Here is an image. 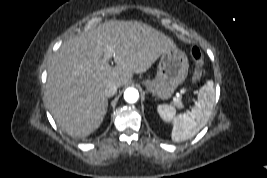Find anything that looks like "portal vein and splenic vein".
I'll return each mask as SVG.
<instances>
[{"mask_svg":"<svg viewBox=\"0 0 267 178\" xmlns=\"http://www.w3.org/2000/svg\"><path fill=\"white\" fill-rule=\"evenodd\" d=\"M114 54H115L114 49L108 48L105 55H104V60H109ZM173 101L175 102V104H177L179 106L181 105V101L179 100V98L174 97Z\"/></svg>","mask_w":267,"mask_h":178,"instance_id":"18ae733b","label":"portal vein and splenic vein"}]
</instances>
